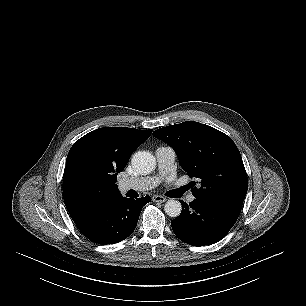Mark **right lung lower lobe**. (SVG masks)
Segmentation results:
<instances>
[{"mask_svg": "<svg viewBox=\"0 0 306 306\" xmlns=\"http://www.w3.org/2000/svg\"><path fill=\"white\" fill-rule=\"evenodd\" d=\"M148 202L149 196L136 200L122 197L116 203L75 224L89 240L98 244H114L126 239L134 231L140 212Z\"/></svg>", "mask_w": 306, "mask_h": 306, "instance_id": "98d812e1", "label": "right lung lower lobe"}]
</instances>
